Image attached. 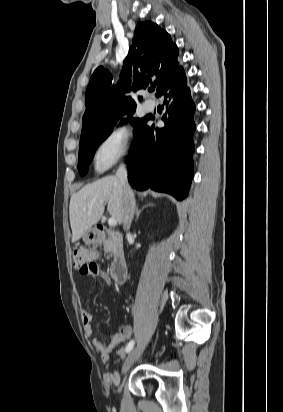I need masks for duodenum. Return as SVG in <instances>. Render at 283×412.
I'll return each mask as SVG.
<instances>
[{"mask_svg":"<svg viewBox=\"0 0 283 412\" xmlns=\"http://www.w3.org/2000/svg\"><path fill=\"white\" fill-rule=\"evenodd\" d=\"M94 238L99 245L108 243L111 246L114 254L110 269L111 276L118 284H124L127 280L128 269L120 248V234L117 231H113L100 225L97 226Z\"/></svg>","mask_w":283,"mask_h":412,"instance_id":"obj_1","label":"duodenum"}]
</instances>
